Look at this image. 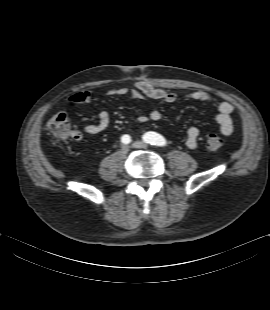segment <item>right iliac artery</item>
I'll return each mask as SVG.
<instances>
[{"instance_id": "1", "label": "right iliac artery", "mask_w": 270, "mask_h": 310, "mask_svg": "<svg viewBox=\"0 0 270 310\" xmlns=\"http://www.w3.org/2000/svg\"><path fill=\"white\" fill-rule=\"evenodd\" d=\"M121 141L124 144H129L131 142V137L129 135H123L121 137Z\"/></svg>"}]
</instances>
